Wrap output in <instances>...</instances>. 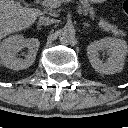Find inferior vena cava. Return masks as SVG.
Segmentation results:
<instances>
[{"label":"inferior vena cava","instance_id":"602c4592","mask_svg":"<svg viewBox=\"0 0 128 128\" xmlns=\"http://www.w3.org/2000/svg\"><path fill=\"white\" fill-rule=\"evenodd\" d=\"M54 19L53 18H50L48 16H41L39 18V24L40 25H51L54 23Z\"/></svg>","mask_w":128,"mask_h":128}]
</instances>
